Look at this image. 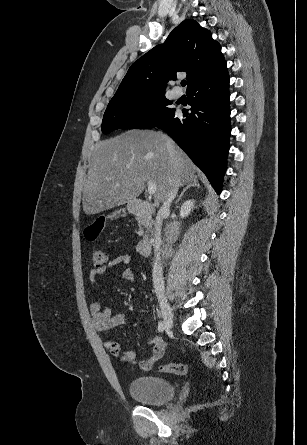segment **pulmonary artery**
I'll list each match as a JSON object with an SVG mask.
<instances>
[{
	"mask_svg": "<svg viewBox=\"0 0 307 445\" xmlns=\"http://www.w3.org/2000/svg\"><path fill=\"white\" fill-rule=\"evenodd\" d=\"M171 94H172L175 98L180 97V95H181V91H180L179 87H178V86H173L172 89H171Z\"/></svg>",
	"mask_w": 307,
	"mask_h": 445,
	"instance_id": "e3ab8cb5",
	"label": "pulmonary artery"
}]
</instances>
